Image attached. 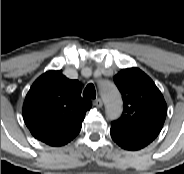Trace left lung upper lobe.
I'll return each mask as SVG.
<instances>
[{"instance_id": "left-lung-upper-lobe-1", "label": "left lung upper lobe", "mask_w": 184, "mask_h": 174, "mask_svg": "<svg viewBox=\"0 0 184 174\" xmlns=\"http://www.w3.org/2000/svg\"><path fill=\"white\" fill-rule=\"evenodd\" d=\"M114 82L121 92L124 111L111 125L154 140L167 114V105L155 83L138 68L121 70Z\"/></svg>"}]
</instances>
